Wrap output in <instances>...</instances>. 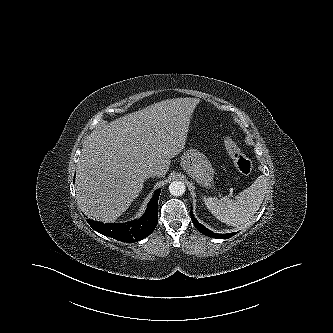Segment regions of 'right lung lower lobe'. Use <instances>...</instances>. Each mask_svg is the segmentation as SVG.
I'll return each mask as SVG.
<instances>
[{
  "label": "right lung lower lobe",
  "instance_id": "1",
  "mask_svg": "<svg viewBox=\"0 0 333 333\" xmlns=\"http://www.w3.org/2000/svg\"><path fill=\"white\" fill-rule=\"evenodd\" d=\"M161 189L155 191L148 203L145 214L138 220L126 223H102L87 219L89 225L97 232L122 242H136L149 236L158 223L157 204Z\"/></svg>",
  "mask_w": 333,
  "mask_h": 333
}]
</instances>
